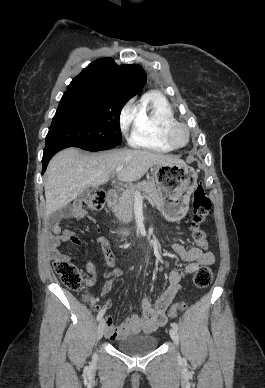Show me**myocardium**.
Segmentation results:
<instances>
[{
  "instance_id": "myocardium-1",
  "label": "myocardium",
  "mask_w": 265,
  "mask_h": 388,
  "mask_svg": "<svg viewBox=\"0 0 265 388\" xmlns=\"http://www.w3.org/2000/svg\"><path fill=\"white\" fill-rule=\"evenodd\" d=\"M177 129L185 130V126L181 122H177L175 120L170 121L166 128V136L172 146L181 147V145H179L175 140V132Z\"/></svg>"
}]
</instances>
